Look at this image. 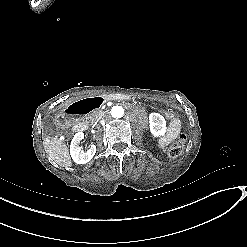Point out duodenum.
<instances>
[{
  "label": "duodenum",
  "mask_w": 247,
  "mask_h": 247,
  "mask_svg": "<svg viewBox=\"0 0 247 247\" xmlns=\"http://www.w3.org/2000/svg\"><path fill=\"white\" fill-rule=\"evenodd\" d=\"M126 100L128 96L121 94H107L101 96H89L83 98L73 104H71L63 115V119L66 122H73V129L76 132L84 131L86 129V124L84 122L78 121V117L87 114L97 108H99L105 101L108 100Z\"/></svg>",
  "instance_id": "1"
}]
</instances>
